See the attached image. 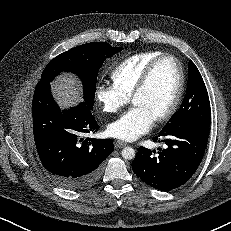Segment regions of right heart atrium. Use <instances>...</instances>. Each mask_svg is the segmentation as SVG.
Segmentation results:
<instances>
[{"label": "right heart atrium", "mask_w": 231, "mask_h": 231, "mask_svg": "<svg viewBox=\"0 0 231 231\" xmlns=\"http://www.w3.org/2000/svg\"><path fill=\"white\" fill-rule=\"evenodd\" d=\"M95 97L105 113H117L123 106L129 102V98L120 92V90L110 83H103L97 86Z\"/></svg>", "instance_id": "right-heart-atrium-1"}]
</instances>
